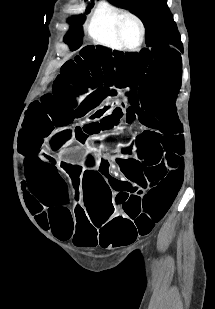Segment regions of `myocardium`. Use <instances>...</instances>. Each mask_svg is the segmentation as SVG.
<instances>
[{
    "label": "myocardium",
    "mask_w": 215,
    "mask_h": 309,
    "mask_svg": "<svg viewBox=\"0 0 215 309\" xmlns=\"http://www.w3.org/2000/svg\"><path fill=\"white\" fill-rule=\"evenodd\" d=\"M119 13V18L118 19H115L116 21V24L114 27L115 28V31H116V37L118 39V44L120 46V48H140L143 41H144V36H145V29H144V26L141 22V20L134 14L130 13V12H127V11H121V12H118ZM123 20H130L132 21L136 27H137V30H138V41L136 44H134L133 46H124L123 44V38L121 36V31L120 30H123L124 28V25L123 23H121Z\"/></svg>",
    "instance_id": "obj_1"
}]
</instances>
